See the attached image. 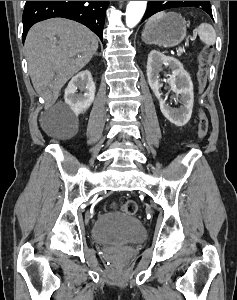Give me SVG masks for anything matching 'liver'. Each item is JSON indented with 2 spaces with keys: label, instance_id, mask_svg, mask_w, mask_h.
Instances as JSON below:
<instances>
[{
  "label": "liver",
  "instance_id": "obj_1",
  "mask_svg": "<svg viewBox=\"0 0 237 300\" xmlns=\"http://www.w3.org/2000/svg\"><path fill=\"white\" fill-rule=\"evenodd\" d=\"M24 47L33 87L49 107L65 83L95 55L98 41L75 21L48 19L31 27Z\"/></svg>",
  "mask_w": 237,
  "mask_h": 300
}]
</instances>
